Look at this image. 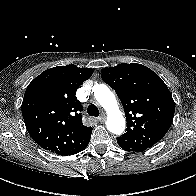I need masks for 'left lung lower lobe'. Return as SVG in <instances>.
I'll return each mask as SVG.
<instances>
[{
  "label": "left lung lower lobe",
  "instance_id": "obj_1",
  "mask_svg": "<svg viewBox=\"0 0 196 196\" xmlns=\"http://www.w3.org/2000/svg\"><path fill=\"white\" fill-rule=\"evenodd\" d=\"M119 146L126 150V151H136V152H140V151H137L135 148H133L131 145L127 144L126 142L124 141H117Z\"/></svg>",
  "mask_w": 196,
  "mask_h": 196
}]
</instances>
